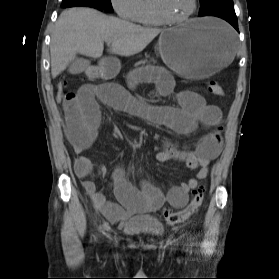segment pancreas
Instances as JSON below:
<instances>
[{
	"mask_svg": "<svg viewBox=\"0 0 279 279\" xmlns=\"http://www.w3.org/2000/svg\"><path fill=\"white\" fill-rule=\"evenodd\" d=\"M147 61H141L139 63H137L136 65H140V64H145Z\"/></svg>",
	"mask_w": 279,
	"mask_h": 279,
	"instance_id": "cf45deb5",
	"label": "pancreas"
}]
</instances>
